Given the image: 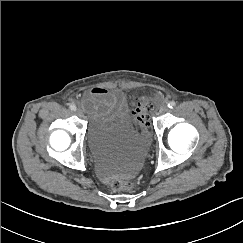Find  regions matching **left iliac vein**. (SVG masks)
Listing matches in <instances>:
<instances>
[{
	"mask_svg": "<svg viewBox=\"0 0 243 243\" xmlns=\"http://www.w3.org/2000/svg\"><path fill=\"white\" fill-rule=\"evenodd\" d=\"M168 111V107L166 105H163L159 109V114L166 113Z\"/></svg>",
	"mask_w": 243,
	"mask_h": 243,
	"instance_id": "1",
	"label": "left iliac vein"
}]
</instances>
